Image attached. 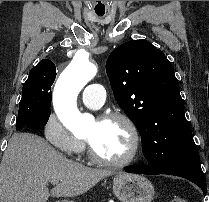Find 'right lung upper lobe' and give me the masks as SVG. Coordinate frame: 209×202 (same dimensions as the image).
Segmentation results:
<instances>
[{
	"mask_svg": "<svg viewBox=\"0 0 209 202\" xmlns=\"http://www.w3.org/2000/svg\"><path fill=\"white\" fill-rule=\"evenodd\" d=\"M55 76L56 66L48 59H42L35 67L30 70L29 77L34 76Z\"/></svg>",
	"mask_w": 209,
	"mask_h": 202,
	"instance_id": "right-lung-upper-lobe-1",
	"label": "right lung upper lobe"
}]
</instances>
